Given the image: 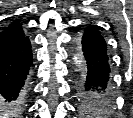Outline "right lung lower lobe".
<instances>
[{"label":"right lung lower lobe","mask_w":133,"mask_h":118,"mask_svg":"<svg viewBox=\"0 0 133 118\" xmlns=\"http://www.w3.org/2000/svg\"><path fill=\"white\" fill-rule=\"evenodd\" d=\"M28 37L0 52V115L14 118L22 104L32 65Z\"/></svg>","instance_id":"98d812e1"}]
</instances>
